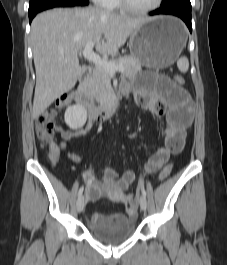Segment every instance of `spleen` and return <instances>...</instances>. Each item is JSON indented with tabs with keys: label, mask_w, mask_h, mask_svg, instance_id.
<instances>
[{
	"label": "spleen",
	"mask_w": 227,
	"mask_h": 265,
	"mask_svg": "<svg viewBox=\"0 0 227 265\" xmlns=\"http://www.w3.org/2000/svg\"><path fill=\"white\" fill-rule=\"evenodd\" d=\"M177 67L182 73H186L189 68V61L186 57H181L177 61Z\"/></svg>",
	"instance_id": "1"
}]
</instances>
